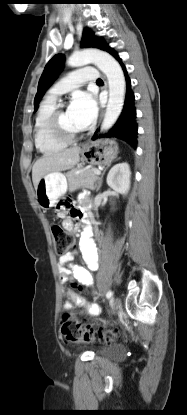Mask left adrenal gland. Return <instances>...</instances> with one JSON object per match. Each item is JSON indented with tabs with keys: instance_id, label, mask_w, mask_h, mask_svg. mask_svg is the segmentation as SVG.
<instances>
[{
	"instance_id": "left-adrenal-gland-1",
	"label": "left adrenal gland",
	"mask_w": 187,
	"mask_h": 415,
	"mask_svg": "<svg viewBox=\"0 0 187 415\" xmlns=\"http://www.w3.org/2000/svg\"><path fill=\"white\" fill-rule=\"evenodd\" d=\"M107 169V168H106ZM106 169L102 172V174H101V176H100V178H99V184H98V187H97V189H96V191L98 192L99 191V189L101 188V186H102V179H103V176H104V174H105V172H106Z\"/></svg>"
}]
</instances>
